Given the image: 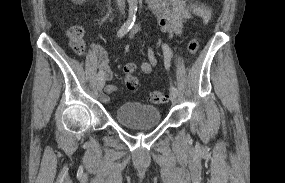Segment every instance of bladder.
<instances>
[{"mask_svg": "<svg viewBox=\"0 0 285 183\" xmlns=\"http://www.w3.org/2000/svg\"><path fill=\"white\" fill-rule=\"evenodd\" d=\"M115 116L118 123L127 126H156L161 120L158 108L136 102L122 104Z\"/></svg>", "mask_w": 285, "mask_h": 183, "instance_id": "bladder-1", "label": "bladder"}]
</instances>
